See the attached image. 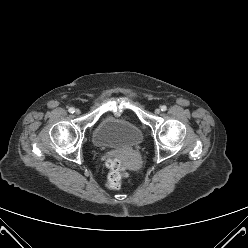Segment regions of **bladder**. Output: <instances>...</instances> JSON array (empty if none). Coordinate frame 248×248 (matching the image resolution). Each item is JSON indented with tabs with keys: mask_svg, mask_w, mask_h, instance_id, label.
Wrapping results in <instances>:
<instances>
[{
	"mask_svg": "<svg viewBox=\"0 0 248 248\" xmlns=\"http://www.w3.org/2000/svg\"><path fill=\"white\" fill-rule=\"evenodd\" d=\"M92 138L98 147L132 148L142 143L143 134L130 120L111 115L100 121Z\"/></svg>",
	"mask_w": 248,
	"mask_h": 248,
	"instance_id": "obj_1",
	"label": "bladder"
}]
</instances>
